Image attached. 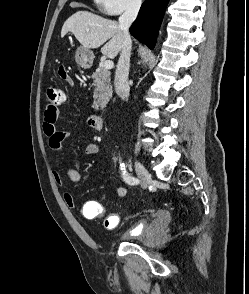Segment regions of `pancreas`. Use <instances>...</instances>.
Masks as SVG:
<instances>
[{
  "instance_id": "1",
  "label": "pancreas",
  "mask_w": 249,
  "mask_h": 294,
  "mask_svg": "<svg viewBox=\"0 0 249 294\" xmlns=\"http://www.w3.org/2000/svg\"><path fill=\"white\" fill-rule=\"evenodd\" d=\"M110 75V71L104 66H101L92 74V79L94 81L93 85L95 86L93 108L96 111L104 109L109 99L112 97L113 91Z\"/></svg>"
}]
</instances>
